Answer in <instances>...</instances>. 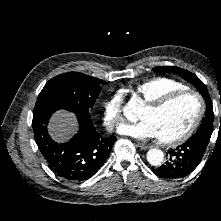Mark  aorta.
<instances>
[{
  "label": "aorta",
  "instance_id": "aorta-1",
  "mask_svg": "<svg viewBox=\"0 0 221 221\" xmlns=\"http://www.w3.org/2000/svg\"><path fill=\"white\" fill-rule=\"evenodd\" d=\"M136 105L129 102L124 108V115L132 120L134 114L136 113ZM164 160V153L157 148H152L147 152V161L153 166H160Z\"/></svg>",
  "mask_w": 221,
  "mask_h": 221
}]
</instances>
